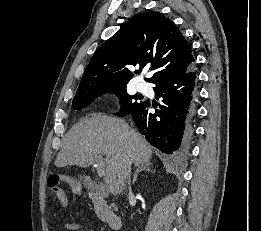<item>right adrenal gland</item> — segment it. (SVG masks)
Here are the masks:
<instances>
[{
    "instance_id": "obj_1",
    "label": "right adrenal gland",
    "mask_w": 261,
    "mask_h": 231,
    "mask_svg": "<svg viewBox=\"0 0 261 231\" xmlns=\"http://www.w3.org/2000/svg\"><path fill=\"white\" fill-rule=\"evenodd\" d=\"M142 171L152 172V170H151V163L148 162V163L141 164V165H138V166H137L136 171H135V174H134V178H133V180H132V183H133V184H135L139 172H142Z\"/></svg>"
}]
</instances>
